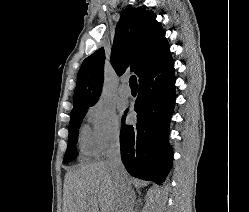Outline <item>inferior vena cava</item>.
I'll use <instances>...</instances> for the list:
<instances>
[{"label":"inferior vena cava","mask_w":249,"mask_h":212,"mask_svg":"<svg viewBox=\"0 0 249 212\" xmlns=\"http://www.w3.org/2000/svg\"><path fill=\"white\" fill-rule=\"evenodd\" d=\"M106 162L114 168L116 200L113 212H133L134 198L127 172L122 164L119 140H114L106 152Z\"/></svg>","instance_id":"602c4592"}]
</instances>
